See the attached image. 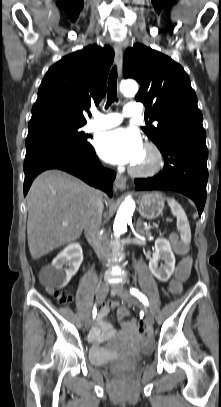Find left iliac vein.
Segmentation results:
<instances>
[{
    "label": "left iliac vein",
    "mask_w": 221,
    "mask_h": 407,
    "mask_svg": "<svg viewBox=\"0 0 221 407\" xmlns=\"http://www.w3.org/2000/svg\"><path fill=\"white\" fill-rule=\"evenodd\" d=\"M115 290L118 293V295L121 297V299L127 303L128 305H134L141 307L144 310L145 313V320L148 325H153L154 323V318L151 312L144 308L139 301L132 295L130 294L126 289H124L122 286L116 285Z\"/></svg>",
    "instance_id": "obj_1"
}]
</instances>
